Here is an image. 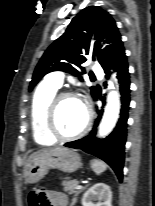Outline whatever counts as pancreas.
<instances>
[{
  "label": "pancreas",
  "instance_id": "cf45deb5",
  "mask_svg": "<svg viewBox=\"0 0 155 206\" xmlns=\"http://www.w3.org/2000/svg\"><path fill=\"white\" fill-rule=\"evenodd\" d=\"M78 185V181L75 179L65 178L62 182V186H64V190L69 193H78L79 190H76V186Z\"/></svg>",
  "mask_w": 155,
  "mask_h": 206
}]
</instances>
